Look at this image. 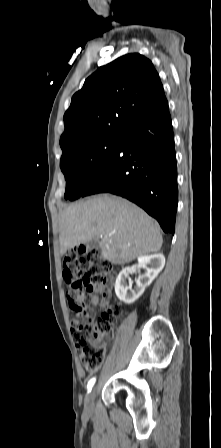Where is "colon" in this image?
Listing matches in <instances>:
<instances>
[{
	"mask_svg": "<svg viewBox=\"0 0 221 448\" xmlns=\"http://www.w3.org/2000/svg\"><path fill=\"white\" fill-rule=\"evenodd\" d=\"M62 272L64 280L69 283L68 306L71 311L82 315V322L72 328V337L85 368L95 371L104 360L107 337L120 308L111 305L100 318L95 319L89 305L94 292L108 290L113 267L98 250L86 251L76 247L64 255Z\"/></svg>",
	"mask_w": 221,
	"mask_h": 448,
	"instance_id": "colon-1",
	"label": "colon"
}]
</instances>
